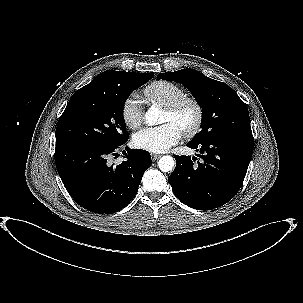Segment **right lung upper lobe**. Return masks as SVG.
Wrapping results in <instances>:
<instances>
[{"mask_svg":"<svg viewBox=\"0 0 303 303\" xmlns=\"http://www.w3.org/2000/svg\"><path fill=\"white\" fill-rule=\"evenodd\" d=\"M134 72H122V71H105L96 76L88 85H94L98 82L104 81V80H116L124 77H128L132 75Z\"/></svg>","mask_w":303,"mask_h":303,"instance_id":"obj_1","label":"right lung upper lobe"}]
</instances>
